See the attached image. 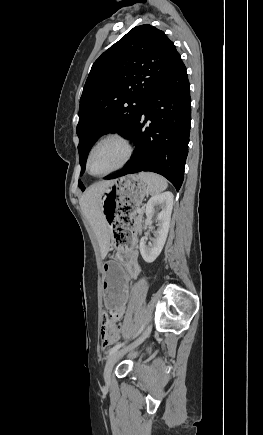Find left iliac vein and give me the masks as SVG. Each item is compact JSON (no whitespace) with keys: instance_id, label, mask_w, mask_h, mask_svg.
Returning a JSON list of instances; mask_svg holds the SVG:
<instances>
[{"instance_id":"4c4485c4","label":"left iliac vein","mask_w":263,"mask_h":435,"mask_svg":"<svg viewBox=\"0 0 263 435\" xmlns=\"http://www.w3.org/2000/svg\"><path fill=\"white\" fill-rule=\"evenodd\" d=\"M150 332H151V326H149L144 332H143V334L136 340V341H134L132 344H130L129 346H127V347H124V348H122V349H120V350H117V351H115L114 353H112L110 356H109V358H108V360H107V362H106V365H105V368H104V374H103V376H104V381H105V383L107 384V385H109L110 384V382H111V373H112V369H113V367H114V365H115V363L125 354V353H127L128 351H130V350H132V349H134V348H136L138 345H140L148 336H149V334H150Z\"/></svg>"}]
</instances>
